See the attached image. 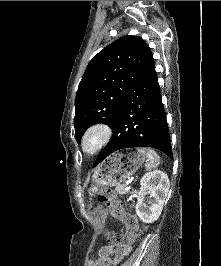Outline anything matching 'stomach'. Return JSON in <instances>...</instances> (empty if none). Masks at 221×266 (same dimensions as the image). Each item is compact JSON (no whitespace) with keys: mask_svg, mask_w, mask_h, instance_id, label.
Segmentation results:
<instances>
[{"mask_svg":"<svg viewBox=\"0 0 221 266\" xmlns=\"http://www.w3.org/2000/svg\"><path fill=\"white\" fill-rule=\"evenodd\" d=\"M145 160V155L137 150H125L107 157L95 170L89 194L94 195L100 187L120 184L132 176Z\"/></svg>","mask_w":221,"mask_h":266,"instance_id":"obj_1","label":"stomach"}]
</instances>
